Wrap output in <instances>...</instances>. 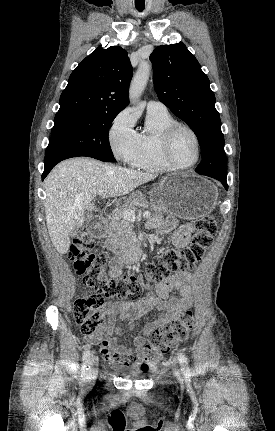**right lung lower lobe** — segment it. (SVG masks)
I'll return each instance as SVG.
<instances>
[{
    "label": "right lung lower lobe",
    "instance_id": "right-lung-lower-lobe-1",
    "mask_svg": "<svg viewBox=\"0 0 275 431\" xmlns=\"http://www.w3.org/2000/svg\"><path fill=\"white\" fill-rule=\"evenodd\" d=\"M78 156H87V157H92L101 161H107L105 158H103L102 156L92 153V152H87V151H81V150H77V151H66V152H61V153H56V154H51V155H46L45 159H44V172L42 174V180H44V178L47 176V174L51 171V169L60 161L68 159V158H72V157H78Z\"/></svg>",
    "mask_w": 275,
    "mask_h": 431
}]
</instances>
